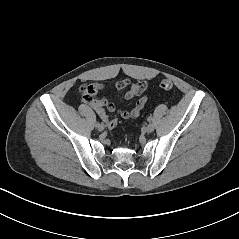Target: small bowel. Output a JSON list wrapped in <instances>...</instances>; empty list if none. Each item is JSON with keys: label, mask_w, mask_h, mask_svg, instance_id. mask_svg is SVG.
<instances>
[{"label": "small bowel", "mask_w": 239, "mask_h": 239, "mask_svg": "<svg viewBox=\"0 0 239 239\" xmlns=\"http://www.w3.org/2000/svg\"><path fill=\"white\" fill-rule=\"evenodd\" d=\"M94 92L91 94H84V102L89 104L106 122L110 128H115L118 124L117 115L124 119L138 118L146 104L147 96L145 94L147 84L146 82H134L129 79L117 82L115 84H108L109 87H114L118 90L125 89V98L130 100L137 98L134 107L130 110L120 109L113 102L109 101L106 96L97 97L99 85H91ZM104 109H107L111 114H106Z\"/></svg>", "instance_id": "c3829d8e"}]
</instances>
